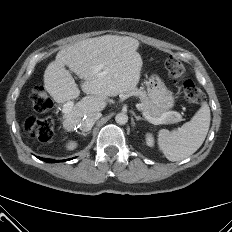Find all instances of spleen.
Returning a JSON list of instances; mask_svg holds the SVG:
<instances>
[{
	"label": "spleen",
	"mask_w": 232,
	"mask_h": 232,
	"mask_svg": "<svg viewBox=\"0 0 232 232\" xmlns=\"http://www.w3.org/2000/svg\"><path fill=\"white\" fill-rule=\"evenodd\" d=\"M210 126V108L203 103L189 122L177 130L161 129L158 146L169 161L183 160L195 153L203 144Z\"/></svg>",
	"instance_id": "1"
}]
</instances>
